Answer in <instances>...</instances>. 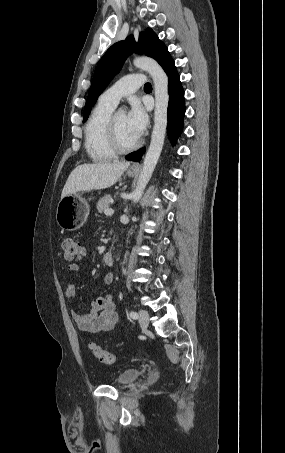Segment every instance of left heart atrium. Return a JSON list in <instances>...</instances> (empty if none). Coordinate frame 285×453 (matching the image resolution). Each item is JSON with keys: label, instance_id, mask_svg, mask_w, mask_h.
Masks as SVG:
<instances>
[{"label": "left heart atrium", "instance_id": "left-heart-atrium-1", "mask_svg": "<svg viewBox=\"0 0 285 453\" xmlns=\"http://www.w3.org/2000/svg\"><path fill=\"white\" fill-rule=\"evenodd\" d=\"M126 118L130 129L138 138H140L147 127L148 117L139 101H133L131 103V108L126 115Z\"/></svg>", "mask_w": 285, "mask_h": 453}]
</instances>
